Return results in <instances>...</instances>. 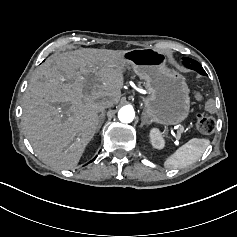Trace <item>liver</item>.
Returning <instances> with one entry per match:
<instances>
[{
  "label": "liver",
  "mask_w": 237,
  "mask_h": 237,
  "mask_svg": "<svg viewBox=\"0 0 237 237\" xmlns=\"http://www.w3.org/2000/svg\"><path fill=\"white\" fill-rule=\"evenodd\" d=\"M127 52L80 49L52 55L35 72L22 99V126L44 164L77 166L98 128L101 102L119 103Z\"/></svg>",
  "instance_id": "6515ba94"
}]
</instances>
